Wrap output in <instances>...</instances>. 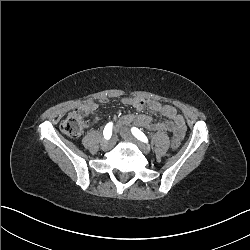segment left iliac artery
Masks as SVG:
<instances>
[{
	"instance_id": "obj_1",
	"label": "left iliac artery",
	"mask_w": 250,
	"mask_h": 250,
	"mask_svg": "<svg viewBox=\"0 0 250 250\" xmlns=\"http://www.w3.org/2000/svg\"><path fill=\"white\" fill-rule=\"evenodd\" d=\"M131 132L132 134L140 141L144 142V143H147L148 142V139L147 137L145 136V134L143 132H141L138 128L136 127H132L131 128Z\"/></svg>"
}]
</instances>
